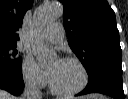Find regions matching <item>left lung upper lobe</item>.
<instances>
[{"instance_id": "obj_1", "label": "left lung upper lobe", "mask_w": 128, "mask_h": 99, "mask_svg": "<svg viewBox=\"0 0 128 99\" xmlns=\"http://www.w3.org/2000/svg\"><path fill=\"white\" fill-rule=\"evenodd\" d=\"M68 43L86 71L98 60H121L115 13L106 0H60Z\"/></svg>"}]
</instances>
